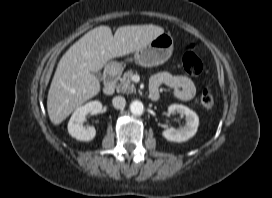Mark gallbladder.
<instances>
[{
  "instance_id": "1",
  "label": "gallbladder",
  "mask_w": 272,
  "mask_h": 198,
  "mask_svg": "<svg viewBox=\"0 0 272 198\" xmlns=\"http://www.w3.org/2000/svg\"><path fill=\"white\" fill-rule=\"evenodd\" d=\"M93 74L97 79H99V80L102 79V74L100 72H93Z\"/></svg>"
}]
</instances>
